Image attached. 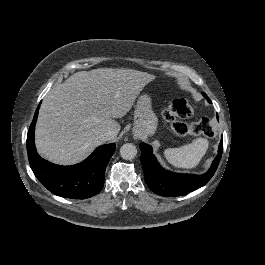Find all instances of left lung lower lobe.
Instances as JSON below:
<instances>
[{"mask_svg":"<svg viewBox=\"0 0 265 265\" xmlns=\"http://www.w3.org/2000/svg\"><path fill=\"white\" fill-rule=\"evenodd\" d=\"M203 96L210 102L205 93H203ZM140 150L144 179L148 187L158 195L174 197L194 191L211 179L222 156L223 142L221 140L218 155L214 159L211 168L203 175L177 174L166 171L157 162L150 145L141 143Z\"/></svg>","mask_w":265,"mask_h":265,"instance_id":"1","label":"left lung lower lobe"}]
</instances>
